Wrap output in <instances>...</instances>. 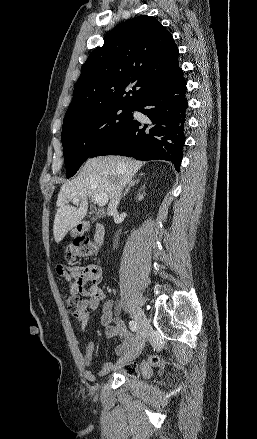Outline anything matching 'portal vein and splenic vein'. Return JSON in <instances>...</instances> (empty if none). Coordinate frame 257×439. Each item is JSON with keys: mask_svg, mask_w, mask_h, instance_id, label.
<instances>
[{"mask_svg": "<svg viewBox=\"0 0 257 439\" xmlns=\"http://www.w3.org/2000/svg\"><path fill=\"white\" fill-rule=\"evenodd\" d=\"M92 198L99 206H104L108 202V195L106 193L94 194ZM73 202L78 203L79 199L74 198Z\"/></svg>", "mask_w": 257, "mask_h": 439, "instance_id": "18ae733b", "label": "portal vein and splenic vein"}]
</instances>
